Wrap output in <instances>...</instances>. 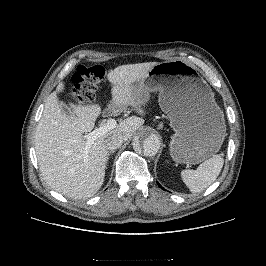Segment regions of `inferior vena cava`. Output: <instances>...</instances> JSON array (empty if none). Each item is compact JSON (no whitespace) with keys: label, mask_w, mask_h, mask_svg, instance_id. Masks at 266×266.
<instances>
[{"label":"inferior vena cava","mask_w":266,"mask_h":266,"mask_svg":"<svg viewBox=\"0 0 266 266\" xmlns=\"http://www.w3.org/2000/svg\"><path fill=\"white\" fill-rule=\"evenodd\" d=\"M124 141L126 140L122 135L114 134L105 140V147L108 150L113 151L118 149L124 143Z\"/></svg>","instance_id":"602c4592"}]
</instances>
